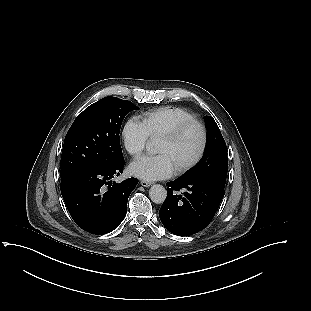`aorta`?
<instances>
[{
	"label": "aorta",
	"mask_w": 311,
	"mask_h": 311,
	"mask_svg": "<svg viewBox=\"0 0 311 311\" xmlns=\"http://www.w3.org/2000/svg\"><path fill=\"white\" fill-rule=\"evenodd\" d=\"M150 153H156L157 148L154 141H149L146 146ZM167 196L166 189L160 184H154L149 190V197L155 204H162Z\"/></svg>",
	"instance_id": "1"
}]
</instances>
